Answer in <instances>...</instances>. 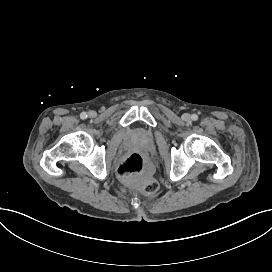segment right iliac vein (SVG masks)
I'll use <instances>...</instances> for the list:
<instances>
[{"label":"right iliac vein","instance_id":"right-iliac-vein-1","mask_svg":"<svg viewBox=\"0 0 272 272\" xmlns=\"http://www.w3.org/2000/svg\"><path fill=\"white\" fill-rule=\"evenodd\" d=\"M89 115H90V116H93V115H94V112H93V111H91V112L89 113Z\"/></svg>","mask_w":272,"mask_h":272}]
</instances>
